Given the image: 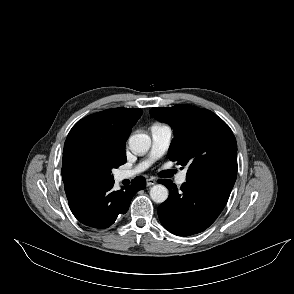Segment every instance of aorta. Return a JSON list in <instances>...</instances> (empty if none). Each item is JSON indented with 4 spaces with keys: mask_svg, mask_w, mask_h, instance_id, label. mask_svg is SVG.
I'll return each mask as SVG.
<instances>
[{
    "mask_svg": "<svg viewBox=\"0 0 294 294\" xmlns=\"http://www.w3.org/2000/svg\"><path fill=\"white\" fill-rule=\"evenodd\" d=\"M129 146L134 153H146L151 146V139L146 134H134L129 138ZM168 195V189L164 185L157 184L150 189V197L156 203L165 202Z\"/></svg>",
    "mask_w": 294,
    "mask_h": 294,
    "instance_id": "aorta-1",
    "label": "aorta"
}]
</instances>
